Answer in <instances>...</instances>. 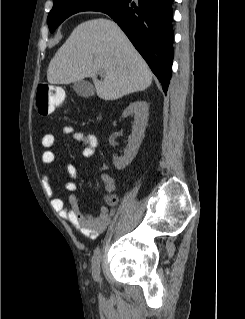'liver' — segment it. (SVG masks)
<instances>
[{
  "mask_svg": "<svg viewBox=\"0 0 245 319\" xmlns=\"http://www.w3.org/2000/svg\"><path fill=\"white\" fill-rule=\"evenodd\" d=\"M104 71V80L97 79ZM90 77L99 98L116 100L143 91L152 83V72L121 28L112 20L80 23L51 59L50 84H70Z\"/></svg>",
  "mask_w": 245,
  "mask_h": 319,
  "instance_id": "obj_1",
  "label": "liver"
}]
</instances>
